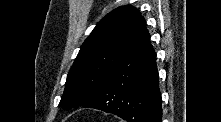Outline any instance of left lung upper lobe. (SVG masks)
<instances>
[{
	"label": "left lung upper lobe",
	"mask_w": 221,
	"mask_h": 122,
	"mask_svg": "<svg viewBox=\"0 0 221 122\" xmlns=\"http://www.w3.org/2000/svg\"><path fill=\"white\" fill-rule=\"evenodd\" d=\"M138 15L134 7L122 6L96 25L68 73L59 106H83L93 97L121 57Z\"/></svg>",
	"instance_id": "obj_1"
}]
</instances>
